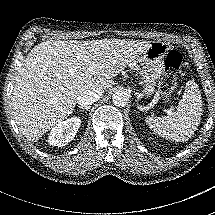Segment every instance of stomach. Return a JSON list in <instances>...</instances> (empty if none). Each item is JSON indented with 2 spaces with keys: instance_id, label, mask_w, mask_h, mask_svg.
I'll list each match as a JSON object with an SVG mask.
<instances>
[{
  "instance_id": "1",
  "label": "stomach",
  "mask_w": 215,
  "mask_h": 215,
  "mask_svg": "<svg viewBox=\"0 0 215 215\" xmlns=\"http://www.w3.org/2000/svg\"><path fill=\"white\" fill-rule=\"evenodd\" d=\"M172 50L169 43L162 41H153L150 45L139 55L137 61L138 73L142 76L144 83L143 93L150 96L155 91L156 80L164 72V60Z\"/></svg>"
}]
</instances>
